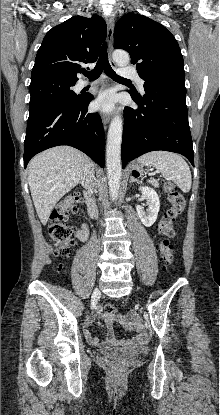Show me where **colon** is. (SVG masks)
<instances>
[{
	"label": "colon",
	"instance_id": "5ec220e1",
	"mask_svg": "<svg viewBox=\"0 0 220 415\" xmlns=\"http://www.w3.org/2000/svg\"><path fill=\"white\" fill-rule=\"evenodd\" d=\"M162 187L167 194L170 205L158 225V230L164 237L159 242L158 248L162 261L170 266L174 262L173 245L170 239L174 237V224L185 208V200L172 182L165 180ZM81 203L82 196L79 193H72L59 201L50 214L49 235L58 255H67L75 242L76 228L68 223V218L71 213L78 211ZM104 313L107 317L114 318L117 309L115 305L108 303L104 307Z\"/></svg>",
	"mask_w": 220,
	"mask_h": 415
}]
</instances>
